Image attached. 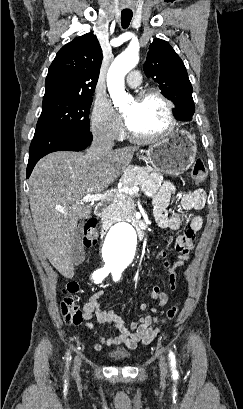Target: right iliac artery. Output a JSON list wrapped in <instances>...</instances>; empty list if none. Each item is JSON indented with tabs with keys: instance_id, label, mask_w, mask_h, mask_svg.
<instances>
[{
	"instance_id": "1",
	"label": "right iliac artery",
	"mask_w": 243,
	"mask_h": 409,
	"mask_svg": "<svg viewBox=\"0 0 243 409\" xmlns=\"http://www.w3.org/2000/svg\"><path fill=\"white\" fill-rule=\"evenodd\" d=\"M109 273H110V269L104 267V268L94 271V273L92 274V278L95 281V283H101L102 280L105 277H107Z\"/></svg>"
}]
</instances>
